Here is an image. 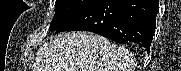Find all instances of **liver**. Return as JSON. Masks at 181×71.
<instances>
[{
    "label": "liver",
    "instance_id": "1",
    "mask_svg": "<svg viewBox=\"0 0 181 71\" xmlns=\"http://www.w3.org/2000/svg\"><path fill=\"white\" fill-rule=\"evenodd\" d=\"M33 71H134L124 47L89 32H67L51 38L36 53Z\"/></svg>",
    "mask_w": 181,
    "mask_h": 71
}]
</instances>
